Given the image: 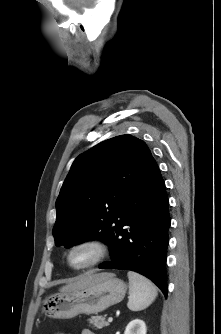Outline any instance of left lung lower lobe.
Here are the masks:
<instances>
[{"label":"left lung lower lobe","instance_id":"obj_1","mask_svg":"<svg viewBox=\"0 0 221 334\" xmlns=\"http://www.w3.org/2000/svg\"><path fill=\"white\" fill-rule=\"evenodd\" d=\"M168 207L165 183L154 160L124 199L108 244L112 260L99 268L138 272L167 297Z\"/></svg>","mask_w":221,"mask_h":334}]
</instances>
